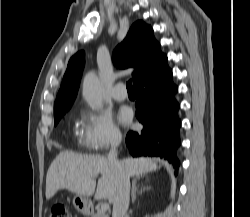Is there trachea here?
Returning a JSON list of instances; mask_svg holds the SVG:
<instances>
[{
    "mask_svg": "<svg viewBox=\"0 0 250 217\" xmlns=\"http://www.w3.org/2000/svg\"><path fill=\"white\" fill-rule=\"evenodd\" d=\"M126 88H127V91H128V92H134V89H133V86H132V80H129V81L126 83Z\"/></svg>",
    "mask_w": 250,
    "mask_h": 217,
    "instance_id": "3493384b",
    "label": "trachea"
}]
</instances>
